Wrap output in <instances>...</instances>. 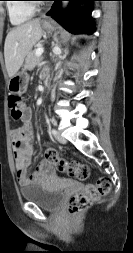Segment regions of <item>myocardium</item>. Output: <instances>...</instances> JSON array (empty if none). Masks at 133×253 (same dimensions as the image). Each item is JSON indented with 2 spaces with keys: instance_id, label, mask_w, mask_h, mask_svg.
Returning a JSON list of instances; mask_svg holds the SVG:
<instances>
[{
  "instance_id": "f54148a6",
  "label": "myocardium",
  "mask_w": 133,
  "mask_h": 253,
  "mask_svg": "<svg viewBox=\"0 0 133 253\" xmlns=\"http://www.w3.org/2000/svg\"><path fill=\"white\" fill-rule=\"evenodd\" d=\"M32 8H36L38 5L36 3H28Z\"/></svg>"
}]
</instances>
